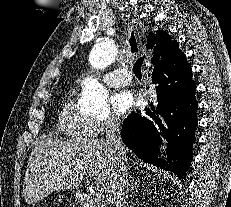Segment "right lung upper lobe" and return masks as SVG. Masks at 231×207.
Returning <instances> with one entry per match:
<instances>
[{"label": "right lung upper lobe", "instance_id": "obj_1", "mask_svg": "<svg viewBox=\"0 0 231 207\" xmlns=\"http://www.w3.org/2000/svg\"><path fill=\"white\" fill-rule=\"evenodd\" d=\"M148 44L154 49L152 61H156L162 57V61H174L183 58L186 60L185 55L179 50V45L176 41H172L171 37L164 32L159 31L157 34H152L147 39ZM151 61V62H152Z\"/></svg>", "mask_w": 231, "mask_h": 207}]
</instances>
